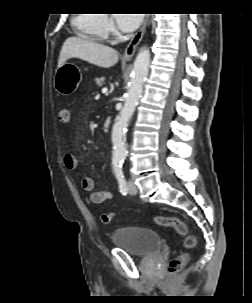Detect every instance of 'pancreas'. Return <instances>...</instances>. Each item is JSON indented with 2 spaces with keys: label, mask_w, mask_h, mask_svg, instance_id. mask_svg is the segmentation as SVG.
Wrapping results in <instances>:
<instances>
[{
  "label": "pancreas",
  "mask_w": 252,
  "mask_h": 303,
  "mask_svg": "<svg viewBox=\"0 0 252 303\" xmlns=\"http://www.w3.org/2000/svg\"><path fill=\"white\" fill-rule=\"evenodd\" d=\"M105 82V78L104 77H100V78H95V83L98 87H101L102 85H104Z\"/></svg>",
  "instance_id": "cf45deb5"
}]
</instances>
